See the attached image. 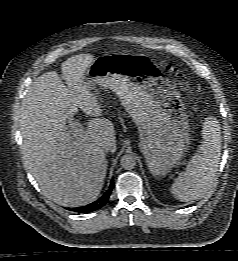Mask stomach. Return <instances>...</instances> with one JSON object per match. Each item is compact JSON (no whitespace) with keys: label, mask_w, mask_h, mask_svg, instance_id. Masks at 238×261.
<instances>
[{"label":"stomach","mask_w":238,"mask_h":261,"mask_svg":"<svg viewBox=\"0 0 238 261\" xmlns=\"http://www.w3.org/2000/svg\"><path fill=\"white\" fill-rule=\"evenodd\" d=\"M85 82L117 94L139 131V148L150 173L166 175L184 156L190 127L180 94L159 68L143 57L106 54L93 60Z\"/></svg>","instance_id":"1"}]
</instances>
